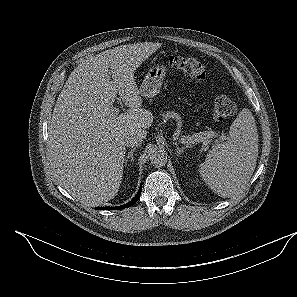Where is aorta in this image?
<instances>
[{
    "instance_id": "1",
    "label": "aorta",
    "mask_w": 297,
    "mask_h": 297,
    "mask_svg": "<svg viewBox=\"0 0 297 297\" xmlns=\"http://www.w3.org/2000/svg\"><path fill=\"white\" fill-rule=\"evenodd\" d=\"M150 162L155 167H162L167 162V154L163 150H154L150 153Z\"/></svg>"
}]
</instances>
